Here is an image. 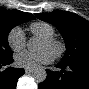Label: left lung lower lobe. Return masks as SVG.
Returning a JSON list of instances; mask_svg holds the SVG:
<instances>
[{"instance_id": "0a47b994", "label": "left lung lower lobe", "mask_w": 89, "mask_h": 89, "mask_svg": "<svg viewBox=\"0 0 89 89\" xmlns=\"http://www.w3.org/2000/svg\"><path fill=\"white\" fill-rule=\"evenodd\" d=\"M56 67L61 71L46 70V80L39 84V89H89V59L60 62Z\"/></svg>"}]
</instances>
